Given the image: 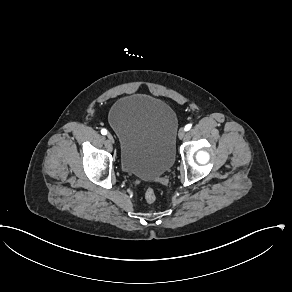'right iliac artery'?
Masks as SVG:
<instances>
[{
  "label": "right iliac artery",
  "mask_w": 292,
  "mask_h": 292,
  "mask_svg": "<svg viewBox=\"0 0 292 292\" xmlns=\"http://www.w3.org/2000/svg\"><path fill=\"white\" fill-rule=\"evenodd\" d=\"M107 132H108V131H107L106 129H104V128L101 130V133H102L103 135H106Z\"/></svg>",
  "instance_id": "1"
}]
</instances>
